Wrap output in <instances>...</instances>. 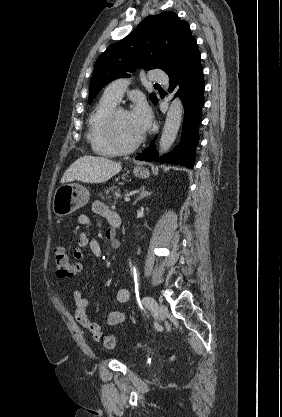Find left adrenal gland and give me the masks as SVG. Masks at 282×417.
Here are the masks:
<instances>
[{
    "instance_id": "obj_1",
    "label": "left adrenal gland",
    "mask_w": 282,
    "mask_h": 417,
    "mask_svg": "<svg viewBox=\"0 0 282 417\" xmlns=\"http://www.w3.org/2000/svg\"><path fill=\"white\" fill-rule=\"evenodd\" d=\"M140 192H139V196H137L136 200H134L133 204H136V202H138V200H141V198H144V196H150V194H152V192H149V190H145V186H141V188H139Z\"/></svg>"
}]
</instances>
